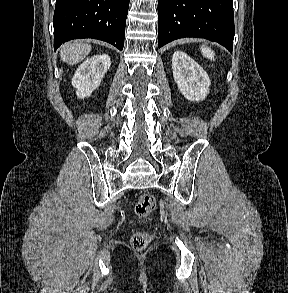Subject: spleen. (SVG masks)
<instances>
[{"label":"spleen","instance_id":"obj_1","mask_svg":"<svg viewBox=\"0 0 288 293\" xmlns=\"http://www.w3.org/2000/svg\"><path fill=\"white\" fill-rule=\"evenodd\" d=\"M201 52L205 57H207L211 60L212 59L214 60V52L209 47L204 46V45L201 46Z\"/></svg>","mask_w":288,"mask_h":293}]
</instances>
